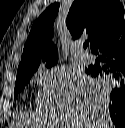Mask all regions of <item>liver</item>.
<instances>
[{
  "instance_id": "obj_1",
  "label": "liver",
  "mask_w": 125,
  "mask_h": 128,
  "mask_svg": "<svg viewBox=\"0 0 125 128\" xmlns=\"http://www.w3.org/2000/svg\"><path fill=\"white\" fill-rule=\"evenodd\" d=\"M108 93L86 75H68L36 98V112L22 119L35 128H111L107 119Z\"/></svg>"
}]
</instances>
